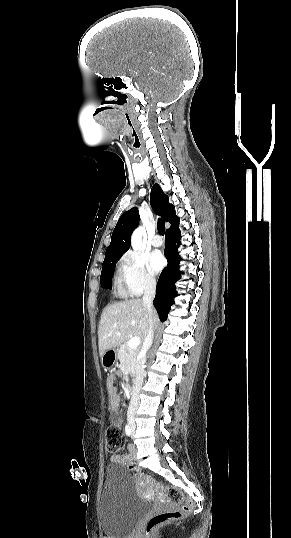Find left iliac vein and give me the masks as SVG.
Wrapping results in <instances>:
<instances>
[{
    "label": "left iliac vein",
    "instance_id": "left-iliac-vein-1",
    "mask_svg": "<svg viewBox=\"0 0 291 538\" xmlns=\"http://www.w3.org/2000/svg\"><path fill=\"white\" fill-rule=\"evenodd\" d=\"M133 434H134V428H133V430H132V436H133Z\"/></svg>",
    "mask_w": 291,
    "mask_h": 538
}]
</instances>
